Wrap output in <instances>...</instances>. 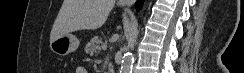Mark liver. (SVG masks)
Segmentation results:
<instances>
[{"label":"liver","mask_w":244,"mask_h":73,"mask_svg":"<svg viewBox=\"0 0 244 73\" xmlns=\"http://www.w3.org/2000/svg\"><path fill=\"white\" fill-rule=\"evenodd\" d=\"M114 4L115 0H64L51 30L50 43L70 32L101 27Z\"/></svg>","instance_id":"liver-1"}]
</instances>
